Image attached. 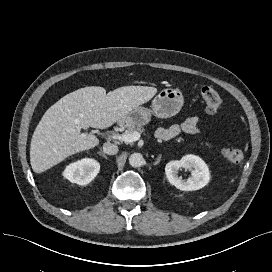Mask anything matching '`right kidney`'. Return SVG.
<instances>
[{"label": "right kidney", "mask_w": 272, "mask_h": 272, "mask_svg": "<svg viewBox=\"0 0 272 272\" xmlns=\"http://www.w3.org/2000/svg\"><path fill=\"white\" fill-rule=\"evenodd\" d=\"M100 164L92 158H84L68 165L63 176L78 185L89 184L99 173Z\"/></svg>", "instance_id": "obj_1"}]
</instances>
